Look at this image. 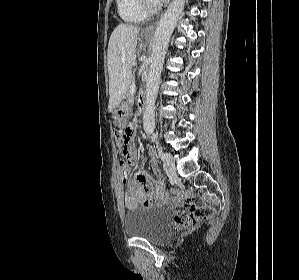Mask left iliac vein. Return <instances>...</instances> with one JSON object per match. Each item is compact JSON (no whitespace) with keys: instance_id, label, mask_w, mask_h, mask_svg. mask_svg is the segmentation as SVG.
Wrapping results in <instances>:
<instances>
[{"instance_id":"left-iliac-vein-1","label":"left iliac vein","mask_w":299,"mask_h":280,"mask_svg":"<svg viewBox=\"0 0 299 280\" xmlns=\"http://www.w3.org/2000/svg\"><path fill=\"white\" fill-rule=\"evenodd\" d=\"M163 168L166 174L170 177L176 174V165L171 156L169 157V159L165 160Z\"/></svg>"}]
</instances>
